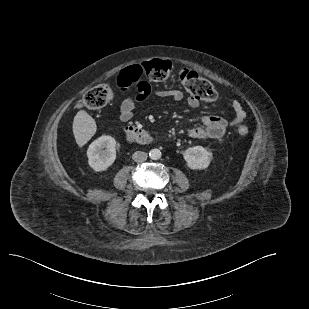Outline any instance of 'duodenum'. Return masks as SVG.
Here are the masks:
<instances>
[{
    "label": "duodenum",
    "instance_id": "obj_1",
    "mask_svg": "<svg viewBox=\"0 0 309 309\" xmlns=\"http://www.w3.org/2000/svg\"><path fill=\"white\" fill-rule=\"evenodd\" d=\"M126 132L128 136L132 137L135 141L141 144L150 143L152 140L149 133L140 128L128 127Z\"/></svg>",
    "mask_w": 309,
    "mask_h": 309
}]
</instances>
